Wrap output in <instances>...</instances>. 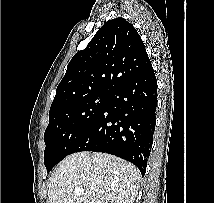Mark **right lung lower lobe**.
<instances>
[{
  "label": "right lung lower lobe",
  "instance_id": "98d812e1",
  "mask_svg": "<svg viewBox=\"0 0 214 203\" xmlns=\"http://www.w3.org/2000/svg\"><path fill=\"white\" fill-rule=\"evenodd\" d=\"M157 80L147 72L113 89L91 128L72 148L109 153L146 171L156 122Z\"/></svg>",
  "mask_w": 214,
  "mask_h": 203
}]
</instances>
